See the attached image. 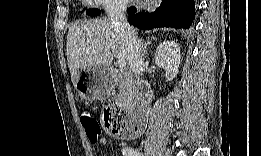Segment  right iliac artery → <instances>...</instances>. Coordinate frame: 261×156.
Listing matches in <instances>:
<instances>
[{"label": "right iliac artery", "instance_id": "right-iliac-artery-1", "mask_svg": "<svg viewBox=\"0 0 261 156\" xmlns=\"http://www.w3.org/2000/svg\"><path fill=\"white\" fill-rule=\"evenodd\" d=\"M123 155H128V156H138L140 153L137 150H134L132 148H123Z\"/></svg>", "mask_w": 261, "mask_h": 156}]
</instances>
